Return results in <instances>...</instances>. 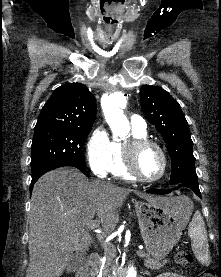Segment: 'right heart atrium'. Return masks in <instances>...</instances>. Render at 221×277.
<instances>
[{
  "label": "right heart atrium",
  "mask_w": 221,
  "mask_h": 277,
  "mask_svg": "<svg viewBox=\"0 0 221 277\" xmlns=\"http://www.w3.org/2000/svg\"><path fill=\"white\" fill-rule=\"evenodd\" d=\"M86 158L95 175L104 177L107 174L112 158V141L104 127H97L90 135L86 144Z\"/></svg>",
  "instance_id": "d8ad5b80"
}]
</instances>
